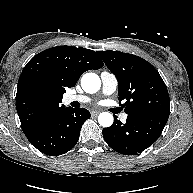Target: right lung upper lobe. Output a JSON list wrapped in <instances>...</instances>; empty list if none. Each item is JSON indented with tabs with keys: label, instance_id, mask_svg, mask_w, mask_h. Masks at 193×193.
Returning a JSON list of instances; mask_svg holds the SVG:
<instances>
[{
	"label": "right lung upper lobe",
	"instance_id": "obj_1",
	"mask_svg": "<svg viewBox=\"0 0 193 193\" xmlns=\"http://www.w3.org/2000/svg\"><path fill=\"white\" fill-rule=\"evenodd\" d=\"M102 66L95 51L81 47L57 46L35 55L20 75L16 94L24 134L66 109L61 105L66 88L73 87L85 71Z\"/></svg>",
	"mask_w": 193,
	"mask_h": 193
}]
</instances>
